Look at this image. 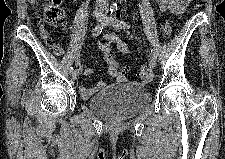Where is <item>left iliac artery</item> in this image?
Listing matches in <instances>:
<instances>
[{
	"instance_id": "1",
	"label": "left iliac artery",
	"mask_w": 225,
	"mask_h": 159,
	"mask_svg": "<svg viewBox=\"0 0 225 159\" xmlns=\"http://www.w3.org/2000/svg\"><path fill=\"white\" fill-rule=\"evenodd\" d=\"M116 10H117V8H116ZM112 11H113V9H112ZM111 19L114 20L117 25L122 24L124 26H127L128 28H130V26H131V24L129 22H125L124 20H118L116 18V15H112ZM151 54L155 55V52L152 49H151Z\"/></svg>"
}]
</instances>
